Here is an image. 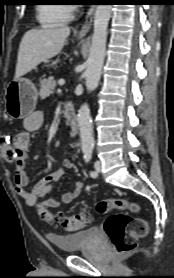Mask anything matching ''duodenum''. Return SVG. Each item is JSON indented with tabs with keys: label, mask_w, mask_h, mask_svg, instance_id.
<instances>
[{
	"label": "duodenum",
	"mask_w": 174,
	"mask_h": 278,
	"mask_svg": "<svg viewBox=\"0 0 174 278\" xmlns=\"http://www.w3.org/2000/svg\"><path fill=\"white\" fill-rule=\"evenodd\" d=\"M62 114L71 128V134L75 135L78 129V122L74 107L70 102L63 103Z\"/></svg>",
	"instance_id": "410a0bca"
}]
</instances>
